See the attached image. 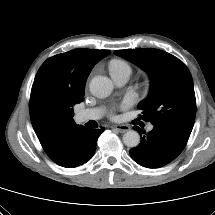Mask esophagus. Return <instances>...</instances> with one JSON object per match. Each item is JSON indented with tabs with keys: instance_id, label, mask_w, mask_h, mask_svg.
Listing matches in <instances>:
<instances>
[{
	"instance_id": "esophagus-1",
	"label": "esophagus",
	"mask_w": 215,
	"mask_h": 215,
	"mask_svg": "<svg viewBox=\"0 0 215 215\" xmlns=\"http://www.w3.org/2000/svg\"><path fill=\"white\" fill-rule=\"evenodd\" d=\"M112 128L120 133H125L130 130L128 125H115Z\"/></svg>"
}]
</instances>
